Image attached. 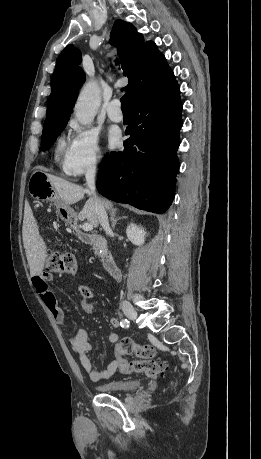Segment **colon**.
I'll return each instance as SVG.
<instances>
[{
  "label": "colon",
  "instance_id": "colon-1",
  "mask_svg": "<svg viewBox=\"0 0 261 459\" xmlns=\"http://www.w3.org/2000/svg\"><path fill=\"white\" fill-rule=\"evenodd\" d=\"M48 269L56 273L74 274L77 272V261L73 254H52L48 260ZM119 357L118 368L124 374L145 373L148 377L157 378L166 370L165 362L156 360L155 349L151 345H140L131 338H122L115 347ZM134 354L138 359L127 361L124 355Z\"/></svg>",
  "mask_w": 261,
  "mask_h": 459
}]
</instances>
